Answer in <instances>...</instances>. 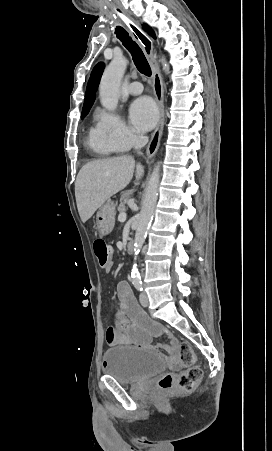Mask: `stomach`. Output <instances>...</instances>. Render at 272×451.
Instances as JSON below:
<instances>
[{
	"instance_id": "stomach-1",
	"label": "stomach",
	"mask_w": 272,
	"mask_h": 451,
	"mask_svg": "<svg viewBox=\"0 0 272 451\" xmlns=\"http://www.w3.org/2000/svg\"><path fill=\"white\" fill-rule=\"evenodd\" d=\"M115 224V204L106 200L96 214V229L99 235H107Z\"/></svg>"
}]
</instances>
